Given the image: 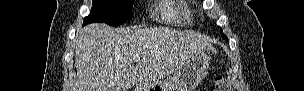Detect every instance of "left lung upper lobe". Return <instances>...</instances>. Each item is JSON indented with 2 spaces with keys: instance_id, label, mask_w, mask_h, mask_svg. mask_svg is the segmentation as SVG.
Masks as SVG:
<instances>
[{
  "instance_id": "5c2ea615",
  "label": "left lung upper lobe",
  "mask_w": 304,
  "mask_h": 91,
  "mask_svg": "<svg viewBox=\"0 0 304 91\" xmlns=\"http://www.w3.org/2000/svg\"><path fill=\"white\" fill-rule=\"evenodd\" d=\"M221 36H222L224 39L228 40V38L224 35L222 29H221Z\"/></svg>"
}]
</instances>
